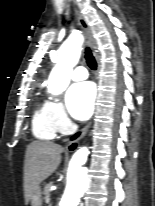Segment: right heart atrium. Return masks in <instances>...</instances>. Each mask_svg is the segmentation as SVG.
<instances>
[{
  "label": "right heart atrium",
  "mask_w": 155,
  "mask_h": 206,
  "mask_svg": "<svg viewBox=\"0 0 155 206\" xmlns=\"http://www.w3.org/2000/svg\"><path fill=\"white\" fill-rule=\"evenodd\" d=\"M45 109L57 132L64 133L70 129V120L59 101L48 100L45 103Z\"/></svg>",
  "instance_id": "obj_1"
}]
</instances>
